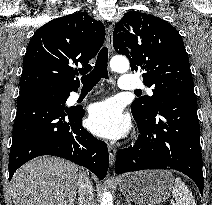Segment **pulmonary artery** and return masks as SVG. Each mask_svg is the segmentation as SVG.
<instances>
[{
  "label": "pulmonary artery",
  "instance_id": "1",
  "mask_svg": "<svg viewBox=\"0 0 212 205\" xmlns=\"http://www.w3.org/2000/svg\"><path fill=\"white\" fill-rule=\"evenodd\" d=\"M119 88L122 90H138L144 88L143 83L136 77L128 74H124L119 79ZM148 92H151L147 89ZM95 94H89L88 96H93ZM81 95L79 93L75 94V99H78Z\"/></svg>",
  "mask_w": 212,
  "mask_h": 205
}]
</instances>
